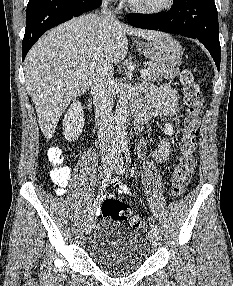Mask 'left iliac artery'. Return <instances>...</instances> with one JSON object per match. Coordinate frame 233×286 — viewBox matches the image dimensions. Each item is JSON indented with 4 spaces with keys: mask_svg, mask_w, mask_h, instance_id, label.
<instances>
[{
    "mask_svg": "<svg viewBox=\"0 0 233 286\" xmlns=\"http://www.w3.org/2000/svg\"><path fill=\"white\" fill-rule=\"evenodd\" d=\"M122 150H123V153L125 155L126 162L130 164L131 163V158H130L129 148L126 145H124ZM149 221H150L151 228L153 230L157 231L158 227H157L156 223L154 222V220L152 218H149Z\"/></svg>",
    "mask_w": 233,
    "mask_h": 286,
    "instance_id": "left-iliac-artery-1",
    "label": "left iliac artery"
}]
</instances>
